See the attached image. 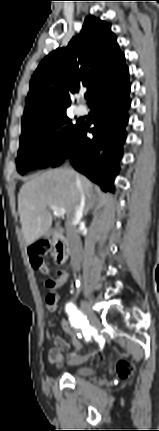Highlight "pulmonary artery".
Here are the masks:
<instances>
[{"label": "pulmonary artery", "mask_w": 159, "mask_h": 431, "mask_svg": "<svg viewBox=\"0 0 159 431\" xmlns=\"http://www.w3.org/2000/svg\"><path fill=\"white\" fill-rule=\"evenodd\" d=\"M75 111L78 115H85L87 113V108L83 105H79L76 107Z\"/></svg>", "instance_id": "1"}]
</instances>
